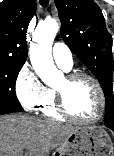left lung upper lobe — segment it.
I'll use <instances>...</instances> for the list:
<instances>
[{
    "label": "left lung upper lobe",
    "mask_w": 114,
    "mask_h": 156,
    "mask_svg": "<svg viewBox=\"0 0 114 156\" xmlns=\"http://www.w3.org/2000/svg\"><path fill=\"white\" fill-rule=\"evenodd\" d=\"M56 6L62 38L98 79L105 94V125L114 127L112 36L101 9L93 0H56Z\"/></svg>",
    "instance_id": "5c2ea615"
}]
</instances>
